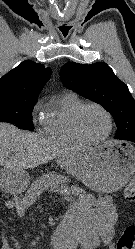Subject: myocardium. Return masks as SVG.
Listing matches in <instances>:
<instances>
[{
  "label": "myocardium",
  "mask_w": 135,
  "mask_h": 249,
  "mask_svg": "<svg viewBox=\"0 0 135 249\" xmlns=\"http://www.w3.org/2000/svg\"><path fill=\"white\" fill-rule=\"evenodd\" d=\"M90 107L97 108L98 110H100L105 115V117L107 118V121H108V130H107L106 134L103 137L99 138V139L88 138L82 132L81 127H80V118H81L83 112L87 108H90ZM72 126H73L75 134L77 135V137L82 142H84L85 144H91V145H93V144H99V143L104 142L105 140H107L110 137V135H111V133L113 131V118H112L111 113L104 106H102L101 104L95 103V102L83 103L75 111V113L73 115Z\"/></svg>",
  "instance_id": "f54148a6"
}]
</instances>
